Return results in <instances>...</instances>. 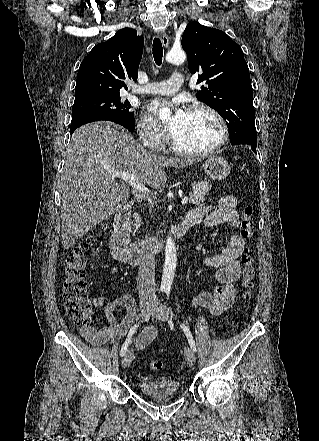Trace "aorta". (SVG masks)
Returning a JSON list of instances; mask_svg holds the SVG:
<instances>
[{
  "mask_svg": "<svg viewBox=\"0 0 319 441\" xmlns=\"http://www.w3.org/2000/svg\"><path fill=\"white\" fill-rule=\"evenodd\" d=\"M186 59V54L182 49H172L166 55V61L168 63L180 65ZM170 110L168 108H162L159 112V117L161 120L170 119ZM176 246L175 242L171 237H168L165 247V262L163 268V275L161 281V287L166 288L172 285L175 269H176Z\"/></svg>",
  "mask_w": 319,
  "mask_h": 441,
  "instance_id": "obj_1",
  "label": "aorta"
}]
</instances>
